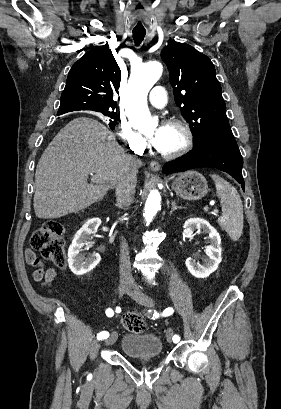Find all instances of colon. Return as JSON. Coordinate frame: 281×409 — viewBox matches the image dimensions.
Returning <instances> with one entry per match:
<instances>
[{
	"label": "colon",
	"instance_id": "1",
	"mask_svg": "<svg viewBox=\"0 0 281 409\" xmlns=\"http://www.w3.org/2000/svg\"><path fill=\"white\" fill-rule=\"evenodd\" d=\"M30 245L31 248L29 249H40V254L45 255V259L53 261L58 266H65V240L62 224L55 220L44 222L33 233ZM122 325L134 333L142 332L146 328L145 321L137 313L124 315L122 317Z\"/></svg>",
	"mask_w": 281,
	"mask_h": 409
}]
</instances>
